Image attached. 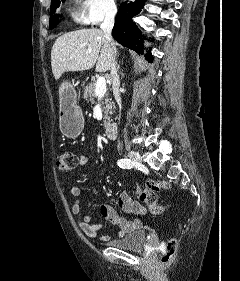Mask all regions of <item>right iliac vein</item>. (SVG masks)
<instances>
[{
    "mask_svg": "<svg viewBox=\"0 0 240 281\" xmlns=\"http://www.w3.org/2000/svg\"><path fill=\"white\" fill-rule=\"evenodd\" d=\"M127 156L130 158V160H133L134 162H141L142 158L138 152L135 151H128Z\"/></svg>",
    "mask_w": 240,
    "mask_h": 281,
    "instance_id": "obj_1",
    "label": "right iliac vein"
}]
</instances>
